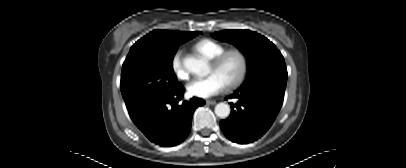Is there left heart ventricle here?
<instances>
[{
	"label": "left heart ventricle",
	"mask_w": 406,
	"mask_h": 168,
	"mask_svg": "<svg viewBox=\"0 0 406 168\" xmlns=\"http://www.w3.org/2000/svg\"><path fill=\"white\" fill-rule=\"evenodd\" d=\"M240 71V61L236 55H230L226 58L223 64L218 68L209 66L208 74L217 75L224 85L233 82Z\"/></svg>",
	"instance_id": "1"
}]
</instances>
